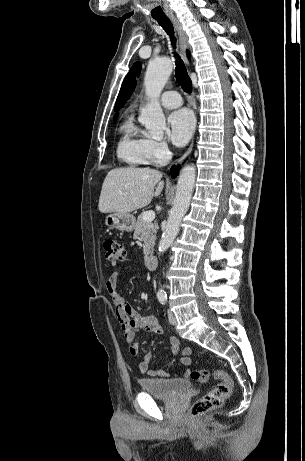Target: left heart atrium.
<instances>
[{"instance_id": "obj_1", "label": "left heart atrium", "mask_w": 305, "mask_h": 461, "mask_svg": "<svg viewBox=\"0 0 305 461\" xmlns=\"http://www.w3.org/2000/svg\"><path fill=\"white\" fill-rule=\"evenodd\" d=\"M194 117L187 109H180L170 114L168 118L169 137L177 146L185 145L194 130Z\"/></svg>"}]
</instances>
